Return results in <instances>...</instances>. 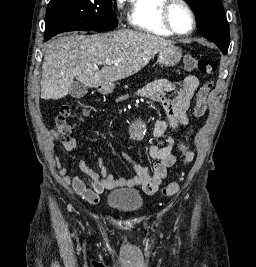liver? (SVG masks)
<instances>
[{"label": "liver", "mask_w": 256, "mask_h": 267, "mask_svg": "<svg viewBox=\"0 0 256 267\" xmlns=\"http://www.w3.org/2000/svg\"><path fill=\"white\" fill-rule=\"evenodd\" d=\"M167 44L173 42L134 30L57 38L49 44L44 56L41 98H65L74 78L89 88H98L104 82L124 80L145 68ZM103 60L111 64H104V68L99 70V62Z\"/></svg>", "instance_id": "liver-1"}]
</instances>
